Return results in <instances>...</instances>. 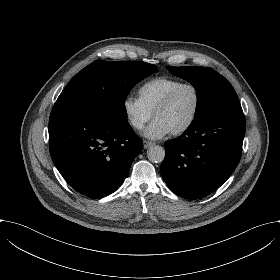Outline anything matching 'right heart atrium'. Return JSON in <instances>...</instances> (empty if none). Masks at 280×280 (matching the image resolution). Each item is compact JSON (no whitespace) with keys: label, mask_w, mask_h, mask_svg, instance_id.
Instances as JSON below:
<instances>
[{"label":"right heart atrium","mask_w":280,"mask_h":280,"mask_svg":"<svg viewBox=\"0 0 280 280\" xmlns=\"http://www.w3.org/2000/svg\"><path fill=\"white\" fill-rule=\"evenodd\" d=\"M122 111L127 123L135 131L143 130L151 119L152 113L143 105L139 98L127 96L122 102Z\"/></svg>","instance_id":"1"}]
</instances>
